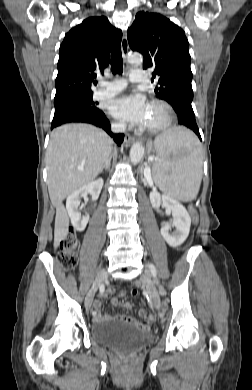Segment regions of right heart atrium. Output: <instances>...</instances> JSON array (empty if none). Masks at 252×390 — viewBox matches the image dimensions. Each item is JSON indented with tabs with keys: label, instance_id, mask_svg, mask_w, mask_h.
I'll return each mask as SVG.
<instances>
[{
	"label": "right heart atrium",
	"instance_id": "1",
	"mask_svg": "<svg viewBox=\"0 0 252 390\" xmlns=\"http://www.w3.org/2000/svg\"><path fill=\"white\" fill-rule=\"evenodd\" d=\"M114 126L117 127V128H123V127H124L123 123L118 122V121H116V122L114 123Z\"/></svg>",
	"mask_w": 252,
	"mask_h": 390
}]
</instances>
